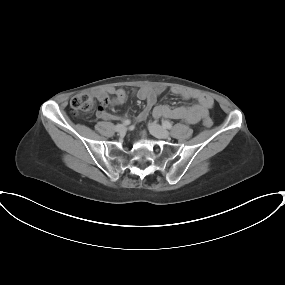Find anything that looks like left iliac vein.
Instances as JSON below:
<instances>
[{
  "instance_id": "4c4485c4",
  "label": "left iliac vein",
  "mask_w": 285,
  "mask_h": 285,
  "mask_svg": "<svg viewBox=\"0 0 285 285\" xmlns=\"http://www.w3.org/2000/svg\"><path fill=\"white\" fill-rule=\"evenodd\" d=\"M148 127L151 134L159 139H168L170 137V133L159 124L152 122L149 123Z\"/></svg>"
}]
</instances>
